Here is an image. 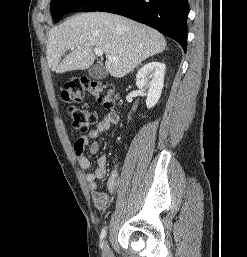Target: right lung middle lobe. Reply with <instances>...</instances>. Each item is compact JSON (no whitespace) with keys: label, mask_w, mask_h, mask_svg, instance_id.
I'll use <instances>...</instances> for the list:
<instances>
[{"label":"right lung middle lobe","mask_w":247,"mask_h":257,"mask_svg":"<svg viewBox=\"0 0 247 257\" xmlns=\"http://www.w3.org/2000/svg\"><path fill=\"white\" fill-rule=\"evenodd\" d=\"M92 1L93 0H51V14L54 21L57 22L66 13L82 8Z\"/></svg>","instance_id":"1"}]
</instances>
